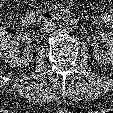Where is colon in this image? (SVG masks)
I'll return each mask as SVG.
<instances>
[{
    "label": "colon",
    "mask_w": 113,
    "mask_h": 113,
    "mask_svg": "<svg viewBox=\"0 0 113 113\" xmlns=\"http://www.w3.org/2000/svg\"><path fill=\"white\" fill-rule=\"evenodd\" d=\"M10 39H11L10 31L0 24V57L4 50L8 47Z\"/></svg>",
    "instance_id": "5ec220e1"
}]
</instances>
